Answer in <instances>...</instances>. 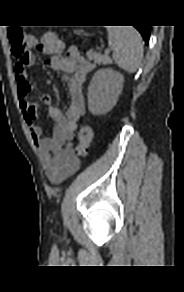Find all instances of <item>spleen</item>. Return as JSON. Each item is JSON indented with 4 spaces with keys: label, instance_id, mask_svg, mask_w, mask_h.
I'll use <instances>...</instances> for the list:
<instances>
[{
    "label": "spleen",
    "instance_id": "1",
    "mask_svg": "<svg viewBox=\"0 0 184 292\" xmlns=\"http://www.w3.org/2000/svg\"><path fill=\"white\" fill-rule=\"evenodd\" d=\"M108 42L115 63L128 73H134L143 58V43L134 27H108Z\"/></svg>",
    "mask_w": 184,
    "mask_h": 292
}]
</instances>
